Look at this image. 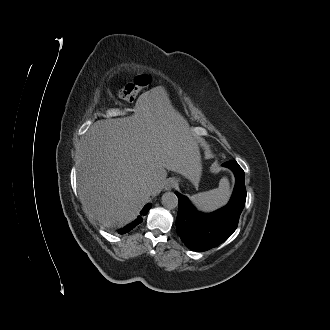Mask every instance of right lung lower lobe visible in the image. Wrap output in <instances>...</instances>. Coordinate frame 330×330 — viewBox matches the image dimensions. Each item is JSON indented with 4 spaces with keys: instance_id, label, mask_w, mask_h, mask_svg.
<instances>
[{
    "instance_id": "1",
    "label": "right lung lower lobe",
    "mask_w": 330,
    "mask_h": 330,
    "mask_svg": "<svg viewBox=\"0 0 330 330\" xmlns=\"http://www.w3.org/2000/svg\"><path fill=\"white\" fill-rule=\"evenodd\" d=\"M151 208V204L148 203L144 206V208L142 209V211L140 212V216H138V218L136 220H134L132 223L128 224L127 226H125L124 228H121L120 230H118L119 234H125L129 231H131L133 228H135V226H137L139 223L142 222L143 217L145 216L149 209Z\"/></svg>"
}]
</instances>
